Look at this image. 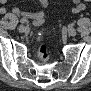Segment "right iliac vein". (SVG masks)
Returning a JSON list of instances; mask_svg holds the SVG:
<instances>
[{
	"label": "right iliac vein",
	"mask_w": 91,
	"mask_h": 91,
	"mask_svg": "<svg viewBox=\"0 0 91 91\" xmlns=\"http://www.w3.org/2000/svg\"><path fill=\"white\" fill-rule=\"evenodd\" d=\"M18 31H19L20 33H23V32L26 31V27H25L24 25H20L19 28H18Z\"/></svg>",
	"instance_id": "obj_1"
}]
</instances>
